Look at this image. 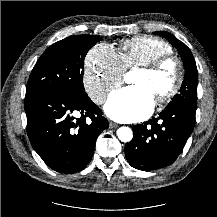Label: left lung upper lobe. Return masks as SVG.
Wrapping results in <instances>:
<instances>
[{
	"instance_id": "5c2ea615",
	"label": "left lung upper lobe",
	"mask_w": 217,
	"mask_h": 217,
	"mask_svg": "<svg viewBox=\"0 0 217 217\" xmlns=\"http://www.w3.org/2000/svg\"><path fill=\"white\" fill-rule=\"evenodd\" d=\"M154 34L165 37L173 46L177 48L185 67V79L180 88V93L174 96L166 108L179 105H187L196 108L198 71L190 49L174 35L168 32L159 31L154 32Z\"/></svg>"
}]
</instances>
